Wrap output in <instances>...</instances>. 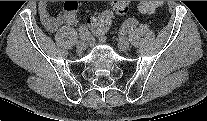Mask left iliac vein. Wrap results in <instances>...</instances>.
Wrapping results in <instances>:
<instances>
[{"label":"left iliac vein","mask_w":207,"mask_h":121,"mask_svg":"<svg viewBox=\"0 0 207 121\" xmlns=\"http://www.w3.org/2000/svg\"><path fill=\"white\" fill-rule=\"evenodd\" d=\"M119 48L121 49V50H127L128 48H129V46H130V43H129V40L128 39H126V38H121L120 40H119Z\"/></svg>","instance_id":"left-iliac-vein-1"}]
</instances>
